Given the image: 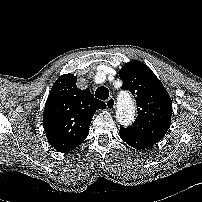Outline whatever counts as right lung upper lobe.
I'll return each instance as SVG.
<instances>
[{
	"label": "right lung upper lobe",
	"mask_w": 202,
	"mask_h": 202,
	"mask_svg": "<svg viewBox=\"0 0 202 202\" xmlns=\"http://www.w3.org/2000/svg\"><path fill=\"white\" fill-rule=\"evenodd\" d=\"M77 77L61 75L51 88L43 112V127L50 144L59 152H70L85 140L91 119L106 108L89 89L79 90Z\"/></svg>",
	"instance_id": "cb5924a9"
}]
</instances>
